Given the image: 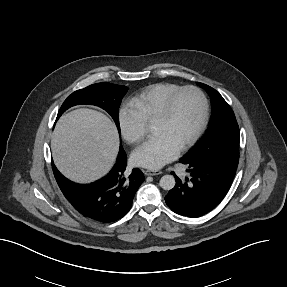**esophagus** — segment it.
Listing matches in <instances>:
<instances>
[{
    "label": "esophagus",
    "instance_id": "esophagus-1",
    "mask_svg": "<svg viewBox=\"0 0 287 287\" xmlns=\"http://www.w3.org/2000/svg\"><path fill=\"white\" fill-rule=\"evenodd\" d=\"M145 175L147 176H154V175H159L162 173L160 170H145L144 171Z\"/></svg>",
    "mask_w": 287,
    "mask_h": 287
}]
</instances>
